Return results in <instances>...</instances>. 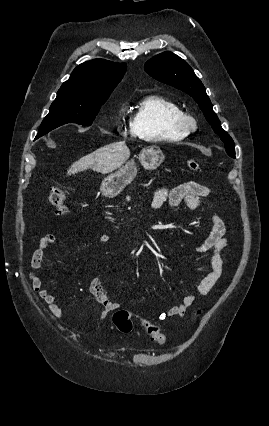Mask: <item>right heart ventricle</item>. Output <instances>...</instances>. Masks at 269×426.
I'll return each mask as SVG.
<instances>
[{
	"label": "right heart ventricle",
	"mask_w": 269,
	"mask_h": 426,
	"mask_svg": "<svg viewBox=\"0 0 269 426\" xmlns=\"http://www.w3.org/2000/svg\"><path fill=\"white\" fill-rule=\"evenodd\" d=\"M181 108L173 100L161 95H147L135 106L130 128L133 134L147 142L179 141L187 134L173 125V118Z\"/></svg>",
	"instance_id": "obj_1"
}]
</instances>
